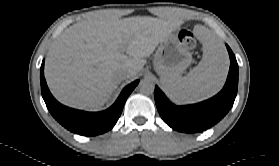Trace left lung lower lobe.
<instances>
[{
  "mask_svg": "<svg viewBox=\"0 0 279 166\" xmlns=\"http://www.w3.org/2000/svg\"><path fill=\"white\" fill-rule=\"evenodd\" d=\"M230 56V70L223 89L204 102L176 106L156 86L155 103L161 118L174 130L196 133L204 131L219 122L231 109L238 88V64L232 50L226 45Z\"/></svg>",
  "mask_w": 279,
  "mask_h": 166,
  "instance_id": "obj_1",
  "label": "left lung lower lobe"
}]
</instances>
